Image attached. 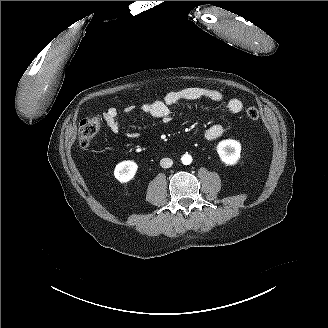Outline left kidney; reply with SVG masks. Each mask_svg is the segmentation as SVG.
<instances>
[{
	"label": "left kidney",
	"instance_id": "5707ae66",
	"mask_svg": "<svg viewBox=\"0 0 328 328\" xmlns=\"http://www.w3.org/2000/svg\"><path fill=\"white\" fill-rule=\"evenodd\" d=\"M216 151L222 163L226 166H235L241 158V144L236 140L226 139L220 141Z\"/></svg>",
	"mask_w": 328,
	"mask_h": 328
}]
</instances>
